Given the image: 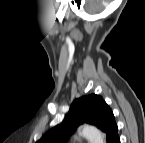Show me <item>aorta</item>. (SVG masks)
<instances>
[{"mask_svg": "<svg viewBox=\"0 0 145 143\" xmlns=\"http://www.w3.org/2000/svg\"><path fill=\"white\" fill-rule=\"evenodd\" d=\"M81 134L90 143H104L105 140L102 132L94 126L84 125L81 128Z\"/></svg>", "mask_w": 145, "mask_h": 143, "instance_id": "762f6f07", "label": "aorta"}]
</instances>
